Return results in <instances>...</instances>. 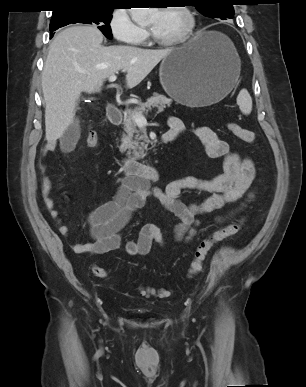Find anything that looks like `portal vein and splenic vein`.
I'll list each match as a JSON object with an SVG mask.
<instances>
[{"mask_svg":"<svg viewBox=\"0 0 306 387\" xmlns=\"http://www.w3.org/2000/svg\"><path fill=\"white\" fill-rule=\"evenodd\" d=\"M117 79L116 75H112L108 78L109 82H114ZM133 121L140 127H143L147 124L146 118L142 114H133Z\"/></svg>","mask_w":306,"mask_h":387,"instance_id":"portal-vein-and-splenic-vein-1","label":"portal vein and splenic vein"}]
</instances>
